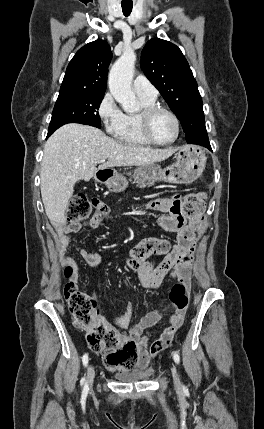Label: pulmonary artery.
<instances>
[{"instance_id":"pulmonary-artery-1","label":"pulmonary artery","mask_w":264,"mask_h":429,"mask_svg":"<svg viewBox=\"0 0 264 429\" xmlns=\"http://www.w3.org/2000/svg\"><path fill=\"white\" fill-rule=\"evenodd\" d=\"M133 89L138 96L156 99L158 91L156 87L143 75H138L133 81Z\"/></svg>"}]
</instances>
